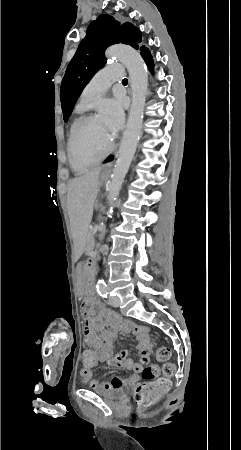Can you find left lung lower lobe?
Returning <instances> with one entry per match:
<instances>
[{
    "label": "left lung lower lobe",
    "mask_w": 241,
    "mask_h": 450,
    "mask_svg": "<svg viewBox=\"0 0 241 450\" xmlns=\"http://www.w3.org/2000/svg\"><path fill=\"white\" fill-rule=\"evenodd\" d=\"M141 56L143 57L144 61H145L146 64L148 65L150 71L153 72V67H154V64H153V58H152V55L150 54L149 49H148V48H145L144 50H142ZM112 160H113V157H112V156H109V157L106 159L105 162H109V161H112Z\"/></svg>",
    "instance_id": "left-lung-lower-lobe-1"
}]
</instances>
